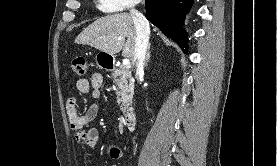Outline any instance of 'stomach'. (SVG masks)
Masks as SVG:
<instances>
[{
    "mask_svg": "<svg viewBox=\"0 0 277 166\" xmlns=\"http://www.w3.org/2000/svg\"><path fill=\"white\" fill-rule=\"evenodd\" d=\"M113 60H114L113 55H110L102 51L97 53L95 56L96 64L100 68H110L113 64Z\"/></svg>",
    "mask_w": 277,
    "mask_h": 166,
    "instance_id": "obj_1",
    "label": "stomach"
}]
</instances>
